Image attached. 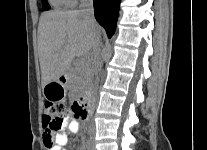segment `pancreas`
<instances>
[{"label": "pancreas", "mask_w": 207, "mask_h": 150, "mask_svg": "<svg viewBox=\"0 0 207 150\" xmlns=\"http://www.w3.org/2000/svg\"><path fill=\"white\" fill-rule=\"evenodd\" d=\"M90 60L86 63L80 61L71 69L69 83L72 85V90L84 89L91 81V71L89 68ZM73 92V91H72Z\"/></svg>", "instance_id": "pancreas-1"}]
</instances>
